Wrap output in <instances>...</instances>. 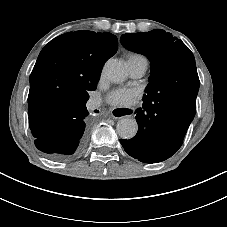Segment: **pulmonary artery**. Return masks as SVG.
<instances>
[{
	"mask_svg": "<svg viewBox=\"0 0 227 227\" xmlns=\"http://www.w3.org/2000/svg\"><path fill=\"white\" fill-rule=\"evenodd\" d=\"M128 65V71L131 77L133 78H140L145 74L147 66L145 64H139V63H127ZM91 106L95 107L100 104L99 99L92 100L90 102Z\"/></svg>",
	"mask_w": 227,
	"mask_h": 227,
	"instance_id": "obj_1",
	"label": "pulmonary artery"
}]
</instances>
